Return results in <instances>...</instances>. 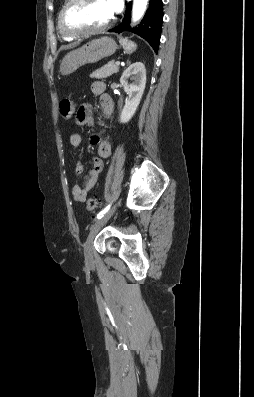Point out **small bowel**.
<instances>
[{"label":"small bowel","instance_id":"obj_1","mask_svg":"<svg viewBox=\"0 0 254 397\" xmlns=\"http://www.w3.org/2000/svg\"><path fill=\"white\" fill-rule=\"evenodd\" d=\"M91 91L93 94L99 96L100 106L103 115L109 118L114 109V103L112 98L105 93L106 85L103 81H94L91 84ZM75 123L78 126H93L94 118L91 104H82L75 118ZM70 144L73 147H81L83 140L80 134L73 133L70 136ZM90 142L97 145L98 156L93 161L92 169L85 176L83 185L74 184L71 189L72 198L75 202H84L89 194V192L96 185L98 178L103 171V160L108 158L111 154V144L109 141L102 139L100 135L93 134L90 137ZM84 167L82 163L78 162L75 168L76 174L81 175L83 173Z\"/></svg>","mask_w":254,"mask_h":397}]
</instances>
